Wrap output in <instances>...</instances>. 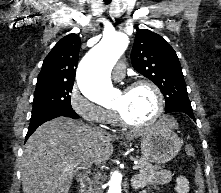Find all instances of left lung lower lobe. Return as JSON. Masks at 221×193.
Listing matches in <instances>:
<instances>
[{
	"label": "left lung lower lobe",
	"mask_w": 221,
	"mask_h": 193,
	"mask_svg": "<svg viewBox=\"0 0 221 193\" xmlns=\"http://www.w3.org/2000/svg\"><path fill=\"white\" fill-rule=\"evenodd\" d=\"M166 112L167 113H170V112L185 113V114L189 115L193 120H195L192 107H190V106L175 107V108L167 110Z\"/></svg>",
	"instance_id": "obj_1"
}]
</instances>
